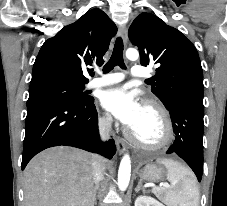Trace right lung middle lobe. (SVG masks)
<instances>
[{
    "mask_svg": "<svg viewBox=\"0 0 227 206\" xmlns=\"http://www.w3.org/2000/svg\"><path fill=\"white\" fill-rule=\"evenodd\" d=\"M85 84L46 79L30 84L27 106L41 101L84 103L92 99L83 90Z\"/></svg>",
    "mask_w": 227,
    "mask_h": 206,
    "instance_id": "1",
    "label": "right lung middle lobe"
}]
</instances>
